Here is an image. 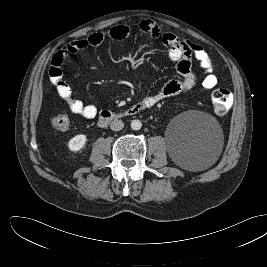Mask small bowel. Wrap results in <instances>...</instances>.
I'll list each match as a JSON object with an SVG mask.
<instances>
[{
	"label": "small bowel",
	"instance_id": "1",
	"mask_svg": "<svg viewBox=\"0 0 267 267\" xmlns=\"http://www.w3.org/2000/svg\"><path fill=\"white\" fill-rule=\"evenodd\" d=\"M134 33H146L159 40L167 49L169 59L176 64L179 75V78L167 82L158 93L142 100L148 107L156 105L163 99L185 93L195 87L198 80L191 69L193 58L199 62L205 73V77L201 82L202 91L211 90L217 85L218 80L214 72L212 59L201 46L169 32H162L152 20H143L134 28L117 25L107 32H95L84 39L72 41L53 56L49 70L50 82L55 87L59 97L67 103L72 113L92 119L97 114V108L73 97L72 88L63 79L62 65L66 57L87 47L100 45L108 38L125 41Z\"/></svg>",
	"mask_w": 267,
	"mask_h": 267
}]
</instances>
